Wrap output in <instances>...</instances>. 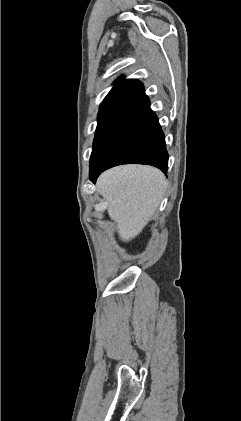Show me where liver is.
Segmentation results:
<instances>
[{
  "label": "liver",
  "mask_w": 241,
  "mask_h": 421,
  "mask_svg": "<svg viewBox=\"0 0 241 421\" xmlns=\"http://www.w3.org/2000/svg\"><path fill=\"white\" fill-rule=\"evenodd\" d=\"M97 189L107 202L110 218L124 242L135 238L153 217L166 193L167 182L157 168L123 165L98 178Z\"/></svg>",
  "instance_id": "6515ba94"
}]
</instances>
